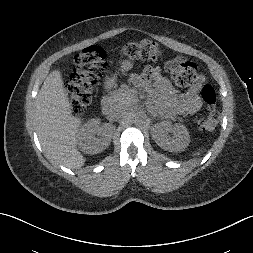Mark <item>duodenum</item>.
Listing matches in <instances>:
<instances>
[{
	"mask_svg": "<svg viewBox=\"0 0 253 253\" xmlns=\"http://www.w3.org/2000/svg\"><path fill=\"white\" fill-rule=\"evenodd\" d=\"M107 88H110L109 83L107 84ZM111 108H112V102H111L110 98L106 95L102 99V109H103V111L108 112L111 110Z\"/></svg>",
	"mask_w": 253,
	"mask_h": 253,
	"instance_id": "obj_1",
	"label": "duodenum"
}]
</instances>
